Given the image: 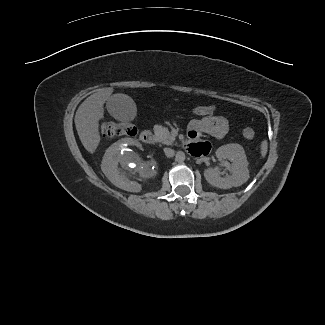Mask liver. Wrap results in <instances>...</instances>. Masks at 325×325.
I'll return each instance as SVG.
<instances>
[{
    "mask_svg": "<svg viewBox=\"0 0 325 325\" xmlns=\"http://www.w3.org/2000/svg\"><path fill=\"white\" fill-rule=\"evenodd\" d=\"M112 92V88L99 89L86 98L76 111L74 121L78 136L84 148L91 154L96 151L101 141L99 121L104 118V103L118 97H126L133 101L128 95Z\"/></svg>",
    "mask_w": 325,
    "mask_h": 325,
    "instance_id": "1",
    "label": "liver"
}]
</instances>
